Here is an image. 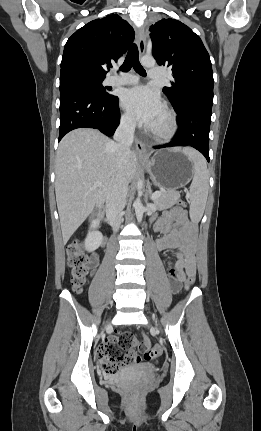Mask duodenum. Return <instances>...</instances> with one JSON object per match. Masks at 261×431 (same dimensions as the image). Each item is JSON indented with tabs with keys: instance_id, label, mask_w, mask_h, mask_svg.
<instances>
[{
	"instance_id": "obj_1",
	"label": "duodenum",
	"mask_w": 261,
	"mask_h": 431,
	"mask_svg": "<svg viewBox=\"0 0 261 431\" xmlns=\"http://www.w3.org/2000/svg\"><path fill=\"white\" fill-rule=\"evenodd\" d=\"M102 216H103V213L101 212V213H100V217H102Z\"/></svg>"
}]
</instances>
